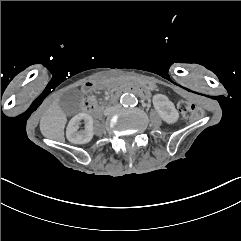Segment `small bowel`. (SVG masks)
<instances>
[{"mask_svg": "<svg viewBox=\"0 0 241 241\" xmlns=\"http://www.w3.org/2000/svg\"><path fill=\"white\" fill-rule=\"evenodd\" d=\"M103 83H104L105 85H108V84L110 83V80H109L108 78L101 79V85H102ZM88 87H89V85H88ZM85 90H87V89H85ZM89 90H91V89H89ZM92 106H93V101H92L91 99H88V100L86 101L85 110H86L87 112H90V111L92 110Z\"/></svg>", "mask_w": 241, "mask_h": 241, "instance_id": "small-bowel-1", "label": "small bowel"}]
</instances>
